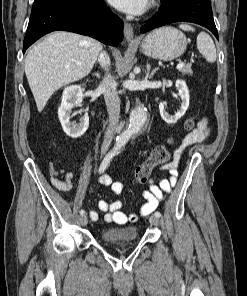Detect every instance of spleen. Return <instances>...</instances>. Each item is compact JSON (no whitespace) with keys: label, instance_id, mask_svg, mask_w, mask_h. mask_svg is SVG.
I'll list each match as a JSON object with an SVG mask.
<instances>
[{"label":"spleen","instance_id":"3e777b00","mask_svg":"<svg viewBox=\"0 0 247 296\" xmlns=\"http://www.w3.org/2000/svg\"><path fill=\"white\" fill-rule=\"evenodd\" d=\"M184 31H195L193 27L187 24L179 25ZM197 48L202 53L209 63L216 61V48L212 38L205 32H200L197 36Z\"/></svg>","mask_w":247,"mask_h":296}]
</instances>
